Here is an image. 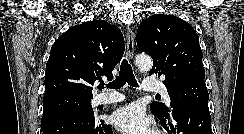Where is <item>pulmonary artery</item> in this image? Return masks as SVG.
Here are the masks:
<instances>
[{"instance_id": "obj_1", "label": "pulmonary artery", "mask_w": 244, "mask_h": 134, "mask_svg": "<svg viewBox=\"0 0 244 134\" xmlns=\"http://www.w3.org/2000/svg\"><path fill=\"white\" fill-rule=\"evenodd\" d=\"M142 90L145 92H158L164 96V99L168 105H170V97L167 92L166 86L158 81H154L152 79L144 80L142 84ZM124 99V97L118 93L104 94L100 95L96 98V104H110L120 102Z\"/></svg>"}]
</instances>
